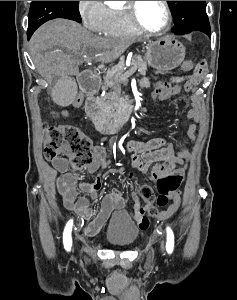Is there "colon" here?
Listing matches in <instances>:
<instances>
[{"instance_id": "colon-1", "label": "colon", "mask_w": 237, "mask_h": 300, "mask_svg": "<svg viewBox=\"0 0 237 300\" xmlns=\"http://www.w3.org/2000/svg\"><path fill=\"white\" fill-rule=\"evenodd\" d=\"M193 67L191 60L182 63L181 69L189 71ZM174 89V85L165 83L153 91L154 99H164ZM46 135L44 155L48 160H55L60 154L70 155V165L74 170H79L89 165L94 157L91 140L76 126L52 125L44 126ZM184 180V174L169 172L156 178L158 190L157 197L148 184H141L137 189L140 198L146 203L151 216L158 215V209L167 205L169 200H179L177 189Z\"/></svg>"}]
</instances>
